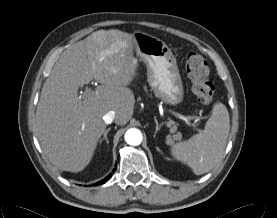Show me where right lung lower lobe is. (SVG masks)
Instances as JSON below:
<instances>
[{
    "label": "right lung lower lobe",
    "mask_w": 277,
    "mask_h": 218,
    "mask_svg": "<svg viewBox=\"0 0 277 218\" xmlns=\"http://www.w3.org/2000/svg\"><path fill=\"white\" fill-rule=\"evenodd\" d=\"M111 177V175H109L108 177H106L104 180L96 183V185H99V184H102V183H105V181H107L109 178Z\"/></svg>",
    "instance_id": "right-lung-lower-lobe-1"
}]
</instances>
